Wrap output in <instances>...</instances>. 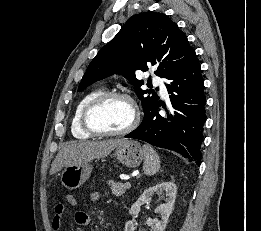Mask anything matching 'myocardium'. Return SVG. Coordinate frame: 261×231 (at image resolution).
Segmentation results:
<instances>
[{
    "label": "myocardium",
    "instance_id": "myocardium-1",
    "mask_svg": "<svg viewBox=\"0 0 261 231\" xmlns=\"http://www.w3.org/2000/svg\"><path fill=\"white\" fill-rule=\"evenodd\" d=\"M113 98H123L130 102L133 107L132 121L128 127L120 131L99 130L93 125L91 121V114L97 107ZM81 122L83 129L94 136H124L131 133L138 126L140 122V111L135 100L128 93L122 91H108L101 93L86 105L82 113Z\"/></svg>",
    "mask_w": 261,
    "mask_h": 231
}]
</instances>
